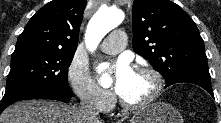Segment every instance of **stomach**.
Wrapping results in <instances>:
<instances>
[{"label":"stomach","mask_w":221,"mask_h":123,"mask_svg":"<svg viewBox=\"0 0 221 123\" xmlns=\"http://www.w3.org/2000/svg\"><path fill=\"white\" fill-rule=\"evenodd\" d=\"M130 123H183V119L172 105L155 102L136 111Z\"/></svg>","instance_id":"stomach-1"}]
</instances>
